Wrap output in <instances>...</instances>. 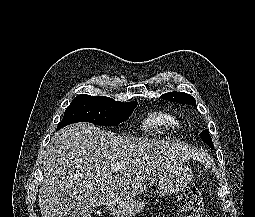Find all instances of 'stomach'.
Instances as JSON below:
<instances>
[{
    "label": "stomach",
    "instance_id": "stomach-1",
    "mask_svg": "<svg viewBox=\"0 0 255 217\" xmlns=\"http://www.w3.org/2000/svg\"><path fill=\"white\" fill-rule=\"evenodd\" d=\"M192 170L185 164L176 165L171 171L163 173L158 178L159 187L164 194H177L190 181ZM145 202L140 199H128L109 204V211L113 217H135L142 212Z\"/></svg>",
    "mask_w": 255,
    "mask_h": 217
}]
</instances>
